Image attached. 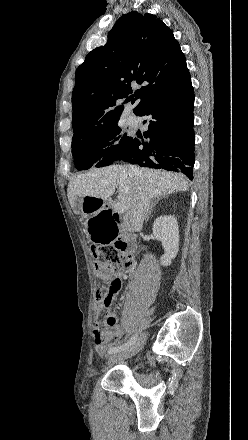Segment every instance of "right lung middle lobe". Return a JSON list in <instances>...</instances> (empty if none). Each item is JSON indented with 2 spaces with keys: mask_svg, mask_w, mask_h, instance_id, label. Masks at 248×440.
<instances>
[{
  "mask_svg": "<svg viewBox=\"0 0 248 440\" xmlns=\"http://www.w3.org/2000/svg\"><path fill=\"white\" fill-rule=\"evenodd\" d=\"M131 139L118 123L95 132L74 135V164L78 170L111 165L125 154Z\"/></svg>",
  "mask_w": 248,
  "mask_h": 440,
  "instance_id": "right-lung-middle-lobe-1",
  "label": "right lung middle lobe"
}]
</instances>
